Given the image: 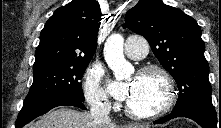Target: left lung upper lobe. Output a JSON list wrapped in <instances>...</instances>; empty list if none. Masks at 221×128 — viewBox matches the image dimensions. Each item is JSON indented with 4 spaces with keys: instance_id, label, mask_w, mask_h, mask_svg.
I'll use <instances>...</instances> for the list:
<instances>
[{
    "instance_id": "left-lung-upper-lobe-1",
    "label": "left lung upper lobe",
    "mask_w": 221,
    "mask_h": 128,
    "mask_svg": "<svg viewBox=\"0 0 221 128\" xmlns=\"http://www.w3.org/2000/svg\"><path fill=\"white\" fill-rule=\"evenodd\" d=\"M144 36L154 55L172 75L179 98L172 111L191 104L212 105L209 66L197 22L162 0H140L125 16V25Z\"/></svg>"
}]
</instances>
